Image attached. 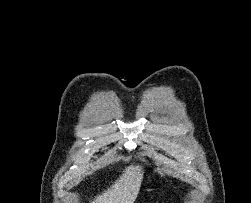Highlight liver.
Instances as JSON below:
<instances>
[{
    "instance_id": "1",
    "label": "liver",
    "mask_w": 251,
    "mask_h": 203,
    "mask_svg": "<svg viewBox=\"0 0 251 203\" xmlns=\"http://www.w3.org/2000/svg\"><path fill=\"white\" fill-rule=\"evenodd\" d=\"M143 174L141 166H128L120 178L91 203H133L140 190Z\"/></svg>"
}]
</instances>
